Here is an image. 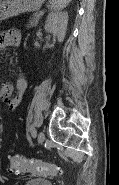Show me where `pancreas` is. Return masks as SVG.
Segmentation results:
<instances>
[{"label":"pancreas","mask_w":119,"mask_h":185,"mask_svg":"<svg viewBox=\"0 0 119 185\" xmlns=\"http://www.w3.org/2000/svg\"><path fill=\"white\" fill-rule=\"evenodd\" d=\"M42 15H40V13H35V14H33V16H32V18H31V20L29 21V24H28V28L29 27H34V26H36L37 24H38V21H39V19H40V17H41Z\"/></svg>","instance_id":"1"}]
</instances>
